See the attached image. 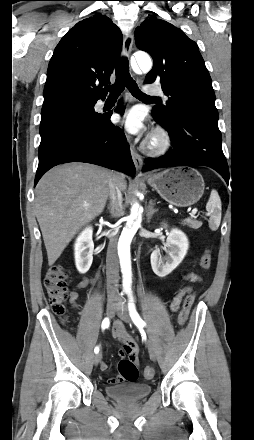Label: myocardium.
Listing matches in <instances>:
<instances>
[{
  "label": "myocardium",
  "instance_id": "f54148a6",
  "mask_svg": "<svg viewBox=\"0 0 254 440\" xmlns=\"http://www.w3.org/2000/svg\"><path fill=\"white\" fill-rule=\"evenodd\" d=\"M171 142L169 132L163 127H158L147 140L144 147L152 155H162L169 150Z\"/></svg>",
  "mask_w": 254,
  "mask_h": 440
}]
</instances>
